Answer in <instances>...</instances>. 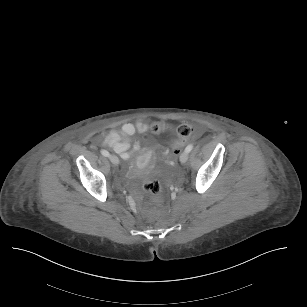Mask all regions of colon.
<instances>
[{
    "label": "colon",
    "mask_w": 307,
    "mask_h": 307,
    "mask_svg": "<svg viewBox=\"0 0 307 307\" xmlns=\"http://www.w3.org/2000/svg\"><path fill=\"white\" fill-rule=\"evenodd\" d=\"M161 131H162V127L159 124H153L149 129V132L151 134H157ZM193 132H194V129L192 128L191 125L189 124L180 125L177 130V135H178V138L180 139L179 145H182V142L188 139ZM179 145H176V147H174V149L172 150V153L174 155H178L182 152V149L179 147ZM158 157L160 159H166L168 158V152L160 149L158 152ZM149 177L151 179L144 181L143 187L145 191L151 194H158L161 191V184L158 180L155 179L157 177V174L155 172H151L149 174Z\"/></svg>",
    "instance_id": "obj_1"
}]
</instances>
